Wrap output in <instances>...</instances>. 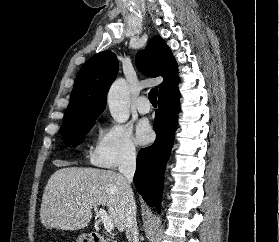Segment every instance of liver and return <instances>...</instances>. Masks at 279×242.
I'll return each mask as SVG.
<instances>
[{
  "instance_id": "obj_1",
  "label": "liver",
  "mask_w": 279,
  "mask_h": 242,
  "mask_svg": "<svg viewBox=\"0 0 279 242\" xmlns=\"http://www.w3.org/2000/svg\"><path fill=\"white\" fill-rule=\"evenodd\" d=\"M125 183V177L112 170L61 168L50 177L44 189L41 223L49 229H84L92 218V208L101 205L107 207L115 227L123 232L128 206Z\"/></svg>"
}]
</instances>
